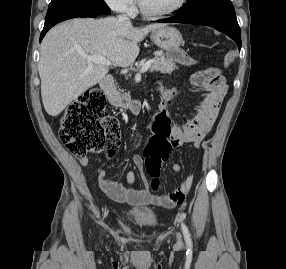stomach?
<instances>
[{"instance_id": "obj_1", "label": "stomach", "mask_w": 286, "mask_h": 269, "mask_svg": "<svg viewBox=\"0 0 286 269\" xmlns=\"http://www.w3.org/2000/svg\"><path fill=\"white\" fill-rule=\"evenodd\" d=\"M151 40L161 49H178L182 35L175 27L165 26L152 31Z\"/></svg>"}]
</instances>
